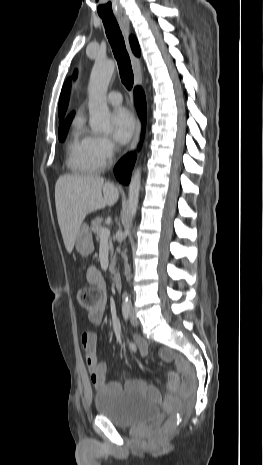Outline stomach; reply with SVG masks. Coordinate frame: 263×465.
<instances>
[{
    "label": "stomach",
    "mask_w": 263,
    "mask_h": 465,
    "mask_svg": "<svg viewBox=\"0 0 263 465\" xmlns=\"http://www.w3.org/2000/svg\"><path fill=\"white\" fill-rule=\"evenodd\" d=\"M75 246L77 252L87 257L94 251V244L90 228L87 224H82L75 239Z\"/></svg>",
    "instance_id": "obj_1"
}]
</instances>
